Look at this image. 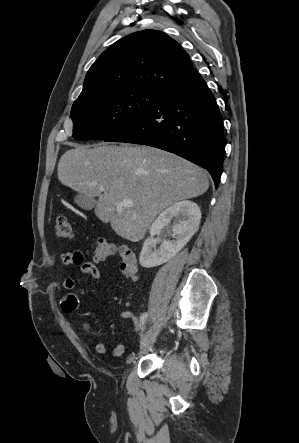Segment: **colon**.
Instances as JSON below:
<instances>
[{
	"label": "colon",
	"instance_id": "5ec220e1",
	"mask_svg": "<svg viewBox=\"0 0 299 443\" xmlns=\"http://www.w3.org/2000/svg\"><path fill=\"white\" fill-rule=\"evenodd\" d=\"M55 232L57 236L70 240L74 237L73 229L68 219L60 215L56 219ZM117 255L120 260L121 273L128 278H133L137 273V261L134 252L125 245H119L104 239L97 240L93 245V258L97 262L105 261Z\"/></svg>",
	"mask_w": 299,
	"mask_h": 443
}]
</instances>
